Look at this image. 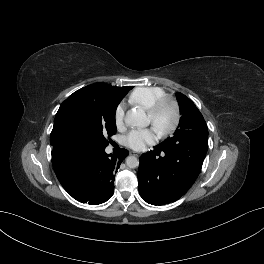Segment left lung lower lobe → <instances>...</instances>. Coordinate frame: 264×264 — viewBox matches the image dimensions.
I'll return each instance as SVG.
<instances>
[{
  "instance_id": "0a47b994",
  "label": "left lung lower lobe",
  "mask_w": 264,
  "mask_h": 264,
  "mask_svg": "<svg viewBox=\"0 0 264 264\" xmlns=\"http://www.w3.org/2000/svg\"><path fill=\"white\" fill-rule=\"evenodd\" d=\"M165 148L160 145L140 158V196L152 205L178 200L195 182L208 149V138Z\"/></svg>"
}]
</instances>
